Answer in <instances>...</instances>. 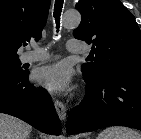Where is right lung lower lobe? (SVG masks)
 I'll use <instances>...</instances> for the list:
<instances>
[{"mask_svg":"<svg viewBox=\"0 0 141 139\" xmlns=\"http://www.w3.org/2000/svg\"><path fill=\"white\" fill-rule=\"evenodd\" d=\"M25 74L0 78V112L10 114L52 135L61 133L60 120L47 91L36 88Z\"/></svg>","mask_w":141,"mask_h":139,"instance_id":"1","label":"right lung lower lobe"}]
</instances>
